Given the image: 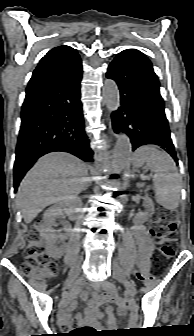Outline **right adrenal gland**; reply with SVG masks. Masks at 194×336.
Masks as SVG:
<instances>
[{
  "instance_id": "1",
  "label": "right adrenal gland",
  "mask_w": 194,
  "mask_h": 336,
  "mask_svg": "<svg viewBox=\"0 0 194 336\" xmlns=\"http://www.w3.org/2000/svg\"><path fill=\"white\" fill-rule=\"evenodd\" d=\"M91 186V180H90V178L88 177L87 178V182H86V186H85V190L88 188V187H90Z\"/></svg>"
}]
</instances>
